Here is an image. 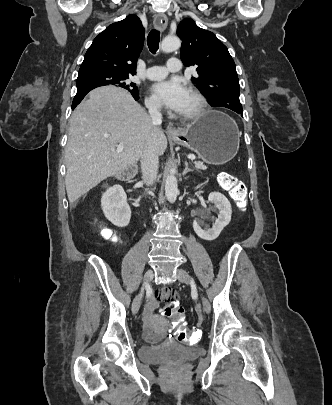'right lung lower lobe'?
I'll list each match as a JSON object with an SVG mask.
<instances>
[{"instance_id":"obj_1","label":"right lung lower lobe","mask_w":332,"mask_h":405,"mask_svg":"<svg viewBox=\"0 0 332 405\" xmlns=\"http://www.w3.org/2000/svg\"><path fill=\"white\" fill-rule=\"evenodd\" d=\"M92 89H94V88H90L85 91L77 92L76 96L74 97L73 103H72V109H74L81 102V100L84 98V96ZM133 97L135 100L139 99L138 95H133Z\"/></svg>"}]
</instances>
